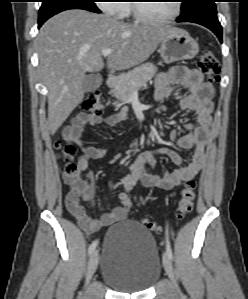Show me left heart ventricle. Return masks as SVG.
I'll return each instance as SVG.
<instances>
[{
  "instance_id": "left-heart-ventricle-1",
  "label": "left heart ventricle",
  "mask_w": 248,
  "mask_h": 299,
  "mask_svg": "<svg viewBox=\"0 0 248 299\" xmlns=\"http://www.w3.org/2000/svg\"><path fill=\"white\" fill-rule=\"evenodd\" d=\"M140 8L150 17L163 18L172 14L174 1H148L140 3Z\"/></svg>"
}]
</instances>
